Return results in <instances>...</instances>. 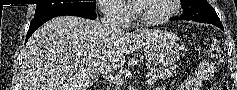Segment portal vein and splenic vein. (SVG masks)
<instances>
[{"instance_id":"1","label":"portal vein and splenic vein","mask_w":237,"mask_h":90,"mask_svg":"<svg viewBox=\"0 0 237 90\" xmlns=\"http://www.w3.org/2000/svg\"><path fill=\"white\" fill-rule=\"evenodd\" d=\"M110 82H112V84H117V86H119V84H121L119 78H114V76H111Z\"/></svg>"}]
</instances>
